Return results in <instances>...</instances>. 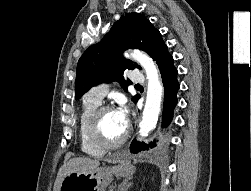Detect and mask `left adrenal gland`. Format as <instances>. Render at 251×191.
Here are the masks:
<instances>
[{"label":"left adrenal gland","mask_w":251,"mask_h":191,"mask_svg":"<svg viewBox=\"0 0 251 191\" xmlns=\"http://www.w3.org/2000/svg\"><path fill=\"white\" fill-rule=\"evenodd\" d=\"M130 185H131V181H129V179H123L122 183H120L118 187V191H127Z\"/></svg>","instance_id":"1"}]
</instances>
